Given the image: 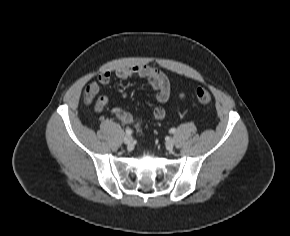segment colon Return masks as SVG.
<instances>
[{"label": "colon", "instance_id": "colon-1", "mask_svg": "<svg viewBox=\"0 0 290 236\" xmlns=\"http://www.w3.org/2000/svg\"><path fill=\"white\" fill-rule=\"evenodd\" d=\"M94 99L93 93L91 91H85V101L90 103ZM196 99L201 105H207L211 102V94L206 88H198L196 90Z\"/></svg>", "mask_w": 290, "mask_h": 236}]
</instances>
